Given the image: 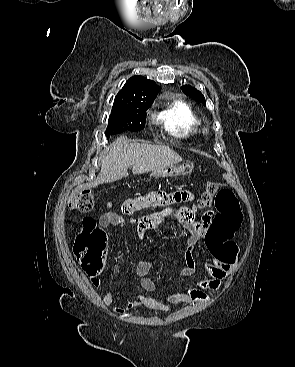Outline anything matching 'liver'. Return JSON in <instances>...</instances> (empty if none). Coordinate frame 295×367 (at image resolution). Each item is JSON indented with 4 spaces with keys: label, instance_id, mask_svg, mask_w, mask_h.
Wrapping results in <instances>:
<instances>
[{
    "label": "liver",
    "instance_id": "1",
    "mask_svg": "<svg viewBox=\"0 0 295 367\" xmlns=\"http://www.w3.org/2000/svg\"><path fill=\"white\" fill-rule=\"evenodd\" d=\"M181 161L182 157L168 146L131 143L125 136H120L112 143L109 152L101 157V170L95 182L76 188L69 201L73 202L77 194L88 186L127 177L130 166L133 167V174H142L158 171Z\"/></svg>",
    "mask_w": 295,
    "mask_h": 367
}]
</instances>
